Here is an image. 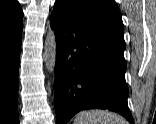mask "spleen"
<instances>
[{"mask_svg": "<svg viewBox=\"0 0 156 124\" xmlns=\"http://www.w3.org/2000/svg\"><path fill=\"white\" fill-rule=\"evenodd\" d=\"M73 124H128L120 115L105 110H87L77 114Z\"/></svg>", "mask_w": 156, "mask_h": 124, "instance_id": "3e777b00", "label": "spleen"}]
</instances>
